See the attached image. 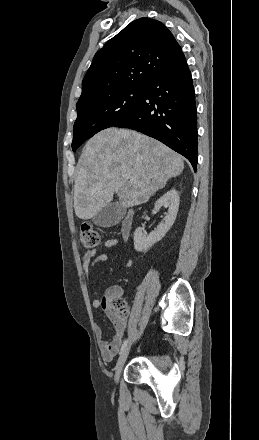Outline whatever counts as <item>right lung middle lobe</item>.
Returning a JSON list of instances; mask_svg holds the SVG:
<instances>
[{
  "label": "right lung middle lobe",
  "mask_w": 259,
  "mask_h": 440,
  "mask_svg": "<svg viewBox=\"0 0 259 440\" xmlns=\"http://www.w3.org/2000/svg\"><path fill=\"white\" fill-rule=\"evenodd\" d=\"M147 88H130L99 98L77 108L72 149L75 151L97 132L128 117L142 101Z\"/></svg>",
  "instance_id": "obj_1"
}]
</instances>
